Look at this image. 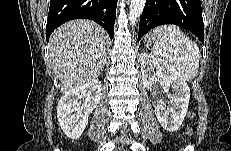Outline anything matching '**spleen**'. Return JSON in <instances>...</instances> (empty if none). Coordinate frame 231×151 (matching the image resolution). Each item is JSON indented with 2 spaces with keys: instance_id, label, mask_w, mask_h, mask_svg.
I'll return each mask as SVG.
<instances>
[{
  "instance_id": "3e777b00",
  "label": "spleen",
  "mask_w": 231,
  "mask_h": 151,
  "mask_svg": "<svg viewBox=\"0 0 231 151\" xmlns=\"http://www.w3.org/2000/svg\"><path fill=\"white\" fill-rule=\"evenodd\" d=\"M156 42L153 53L176 67L181 77L187 81L197 76L199 69V48L177 26L162 25L153 30Z\"/></svg>"
}]
</instances>
